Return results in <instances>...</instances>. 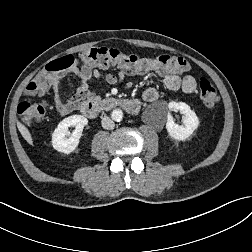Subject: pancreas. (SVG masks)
Segmentation results:
<instances>
[{
    "mask_svg": "<svg viewBox=\"0 0 252 252\" xmlns=\"http://www.w3.org/2000/svg\"><path fill=\"white\" fill-rule=\"evenodd\" d=\"M98 105L104 109L107 110L110 108V106L116 102L115 98H105L103 100H101L100 98L97 99Z\"/></svg>",
    "mask_w": 252,
    "mask_h": 252,
    "instance_id": "pancreas-1",
    "label": "pancreas"
}]
</instances>
